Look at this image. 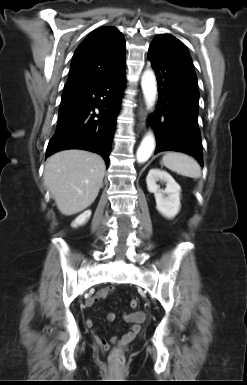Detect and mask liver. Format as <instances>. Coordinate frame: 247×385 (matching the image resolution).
<instances>
[{"label": "liver", "mask_w": 247, "mask_h": 385, "mask_svg": "<svg viewBox=\"0 0 247 385\" xmlns=\"http://www.w3.org/2000/svg\"><path fill=\"white\" fill-rule=\"evenodd\" d=\"M105 169V162L98 154L64 150L47 159L44 184L59 211L67 216L74 215L95 201Z\"/></svg>", "instance_id": "1"}]
</instances>
